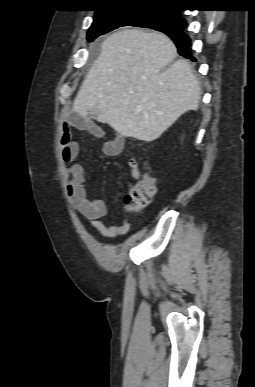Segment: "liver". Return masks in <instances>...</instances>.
<instances>
[{
    "label": "liver",
    "mask_w": 255,
    "mask_h": 387,
    "mask_svg": "<svg viewBox=\"0 0 255 387\" xmlns=\"http://www.w3.org/2000/svg\"><path fill=\"white\" fill-rule=\"evenodd\" d=\"M163 33L126 29L108 36L74 99L79 115L124 137L151 142L182 114L196 110L200 85ZM174 61V62H173Z\"/></svg>",
    "instance_id": "liver-1"
}]
</instances>
